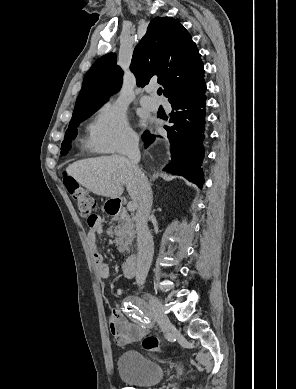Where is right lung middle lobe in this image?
I'll list each match as a JSON object with an SVG mask.
<instances>
[{
    "label": "right lung middle lobe",
    "mask_w": 296,
    "mask_h": 389,
    "mask_svg": "<svg viewBox=\"0 0 296 389\" xmlns=\"http://www.w3.org/2000/svg\"><path fill=\"white\" fill-rule=\"evenodd\" d=\"M99 107L85 108L77 113H74L70 121L69 127L65 133L64 141L61 145V153L66 154L71 148V140L77 135L75 127L84 119L90 117Z\"/></svg>",
    "instance_id": "obj_1"
}]
</instances>
